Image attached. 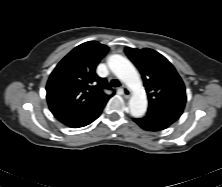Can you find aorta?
I'll list each match as a JSON object with an SVG mask.
<instances>
[{
  "label": "aorta",
  "mask_w": 222,
  "mask_h": 187,
  "mask_svg": "<svg viewBox=\"0 0 222 187\" xmlns=\"http://www.w3.org/2000/svg\"><path fill=\"white\" fill-rule=\"evenodd\" d=\"M110 70L132 91L129 100L130 113L135 118L142 117L148 106L142 81L132 63L119 54L111 55L107 61Z\"/></svg>",
  "instance_id": "762f6f07"
}]
</instances>
